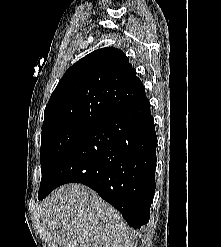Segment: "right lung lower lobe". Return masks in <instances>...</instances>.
<instances>
[{
	"label": "right lung lower lobe",
	"instance_id": "right-lung-lower-lobe-1",
	"mask_svg": "<svg viewBox=\"0 0 221 247\" xmlns=\"http://www.w3.org/2000/svg\"><path fill=\"white\" fill-rule=\"evenodd\" d=\"M157 138L148 98L92 127L62 157L38 192L58 186H89L135 228L148 223L155 192Z\"/></svg>",
	"mask_w": 221,
	"mask_h": 247
}]
</instances>
